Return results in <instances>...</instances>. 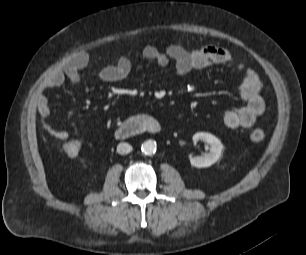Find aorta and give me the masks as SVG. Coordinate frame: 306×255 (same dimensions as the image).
I'll use <instances>...</instances> for the list:
<instances>
[{
    "mask_svg": "<svg viewBox=\"0 0 306 255\" xmlns=\"http://www.w3.org/2000/svg\"><path fill=\"white\" fill-rule=\"evenodd\" d=\"M156 148V142H154L153 140H148L142 144L141 151L145 155H152L156 152Z\"/></svg>",
    "mask_w": 306,
    "mask_h": 255,
    "instance_id": "1",
    "label": "aorta"
}]
</instances>
